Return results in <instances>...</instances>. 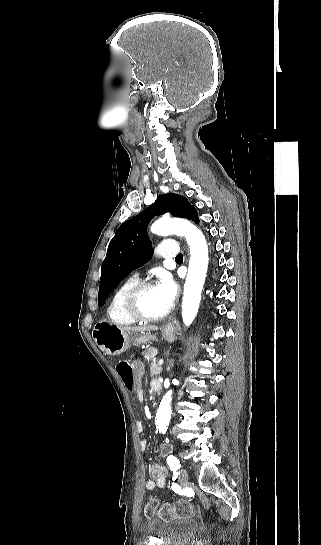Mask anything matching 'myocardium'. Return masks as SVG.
Returning <instances> with one entry per match:
<instances>
[{
	"instance_id": "f54148a6",
	"label": "myocardium",
	"mask_w": 321,
	"mask_h": 545,
	"mask_svg": "<svg viewBox=\"0 0 321 545\" xmlns=\"http://www.w3.org/2000/svg\"><path fill=\"white\" fill-rule=\"evenodd\" d=\"M151 282L140 281L131 286L122 298V312L124 316L133 323H150L157 322L166 318L171 309L158 315H145L141 313L136 306L138 297L145 291L154 288Z\"/></svg>"
}]
</instances>
